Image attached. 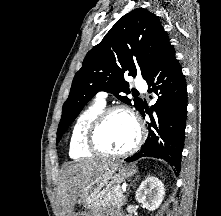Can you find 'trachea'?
Listing matches in <instances>:
<instances>
[{"instance_id":"1","label":"trachea","mask_w":221,"mask_h":216,"mask_svg":"<svg viewBox=\"0 0 221 216\" xmlns=\"http://www.w3.org/2000/svg\"><path fill=\"white\" fill-rule=\"evenodd\" d=\"M133 94H138V92H137V91H135V92H133Z\"/></svg>"}]
</instances>
